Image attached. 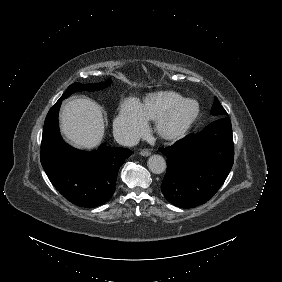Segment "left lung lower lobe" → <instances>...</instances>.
I'll return each instance as SVG.
<instances>
[{
	"instance_id": "1",
	"label": "left lung lower lobe",
	"mask_w": 282,
	"mask_h": 282,
	"mask_svg": "<svg viewBox=\"0 0 282 282\" xmlns=\"http://www.w3.org/2000/svg\"><path fill=\"white\" fill-rule=\"evenodd\" d=\"M159 151L167 157L161 185L165 198L180 208L204 204L223 185L234 162L231 121L219 117L201 132Z\"/></svg>"
}]
</instances>
